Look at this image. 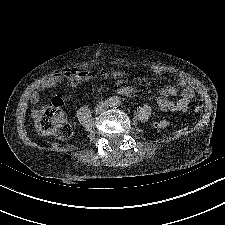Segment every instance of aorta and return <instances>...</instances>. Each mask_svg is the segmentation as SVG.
<instances>
[{"instance_id": "1", "label": "aorta", "mask_w": 225, "mask_h": 225, "mask_svg": "<svg viewBox=\"0 0 225 225\" xmlns=\"http://www.w3.org/2000/svg\"><path fill=\"white\" fill-rule=\"evenodd\" d=\"M110 106L112 107H117L118 105H120V99L119 97L117 96H114L110 99V102H109Z\"/></svg>"}]
</instances>
